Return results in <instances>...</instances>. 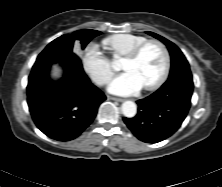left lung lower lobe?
Returning <instances> with one entry per match:
<instances>
[{
  "label": "left lung lower lobe",
  "mask_w": 222,
  "mask_h": 187,
  "mask_svg": "<svg viewBox=\"0 0 222 187\" xmlns=\"http://www.w3.org/2000/svg\"><path fill=\"white\" fill-rule=\"evenodd\" d=\"M193 87L191 73L166 81L156 92L137 101V114L124 117L125 124L143 142L165 140L178 130L187 116Z\"/></svg>",
  "instance_id": "obj_1"
}]
</instances>
